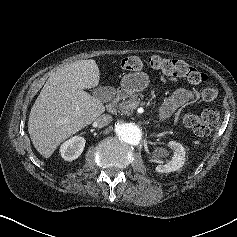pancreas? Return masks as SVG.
<instances>
[{"instance_id": "obj_1", "label": "pancreas", "mask_w": 237, "mask_h": 237, "mask_svg": "<svg viewBox=\"0 0 237 237\" xmlns=\"http://www.w3.org/2000/svg\"><path fill=\"white\" fill-rule=\"evenodd\" d=\"M139 98L136 95H131L128 99L123 100L118 104V110L124 114H129L130 110L138 104Z\"/></svg>"}]
</instances>
